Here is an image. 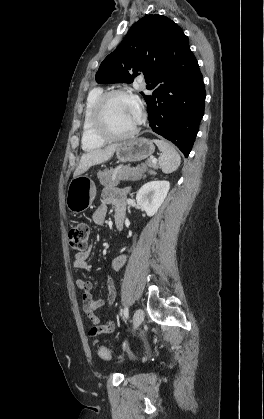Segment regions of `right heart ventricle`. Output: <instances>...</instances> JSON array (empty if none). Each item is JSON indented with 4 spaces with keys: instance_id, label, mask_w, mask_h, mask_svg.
Returning <instances> with one entry per match:
<instances>
[{
    "instance_id": "right-heart-ventricle-1",
    "label": "right heart ventricle",
    "mask_w": 264,
    "mask_h": 419,
    "mask_svg": "<svg viewBox=\"0 0 264 419\" xmlns=\"http://www.w3.org/2000/svg\"><path fill=\"white\" fill-rule=\"evenodd\" d=\"M103 93L104 90L102 88H95L90 91L86 99L81 134V145L83 150L85 151H91L100 148L104 144V140L97 137L93 132L91 124L92 110L94 104L96 103L100 95Z\"/></svg>"
}]
</instances>
